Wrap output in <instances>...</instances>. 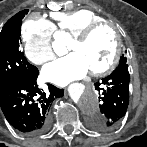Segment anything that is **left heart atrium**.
Returning <instances> with one entry per match:
<instances>
[{"label":"left heart atrium","mask_w":147,"mask_h":147,"mask_svg":"<svg viewBox=\"0 0 147 147\" xmlns=\"http://www.w3.org/2000/svg\"><path fill=\"white\" fill-rule=\"evenodd\" d=\"M88 71L89 68L83 57L73 52L46 65L42 76L47 81L64 86L71 81L83 78Z\"/></svg>","instance_id":"obj_1"}]
</instances>
